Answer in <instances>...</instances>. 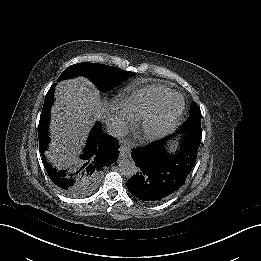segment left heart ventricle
Here are the masks:
<instances>
[{
	"label": "left heart ventricle",
	"mask_w": 261,
	"mask_h": 261,
	"mask_svg": "<svg viewBox=\"0 0 261 261\" xmlns=\"http://www.w3.org/2000/svg\"><path fill=\"white\" fill-rule=\"evenodd\" d=\"M181 106V100L177 97L170 99L161 112L157 114L155 123L153 124V128H157L163 126L167 122H169L173 117L176 116Z\"/></svg>",
	"instance_id": "b2bd125f"
}]
</instances>
